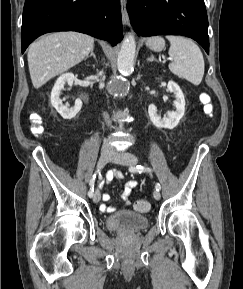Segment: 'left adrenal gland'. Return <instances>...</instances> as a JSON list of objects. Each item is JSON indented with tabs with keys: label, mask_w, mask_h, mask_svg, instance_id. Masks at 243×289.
Here are the masks:
<instances>
[{
	"label": "left adrenal gland",
	"mask_w": 243,
	"mask_h": 289,
	"mask_svg": "<svg viewBox=\"0 0 243 289\" xmlns=\"http://www.w3.org/2000/svg\"><path fill=\"white\" fill-rule=\"evenodd\" d=\"M147 61L151 62V61H157L156 58L154 57L153 54L150 55V58L147 59Z\"/></svg>",
	"instance_id": "left-adrenal-gland-1"
}]
</instances>
